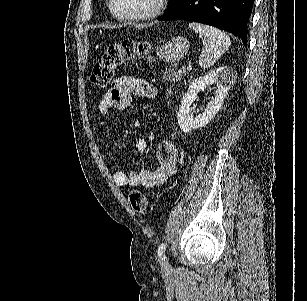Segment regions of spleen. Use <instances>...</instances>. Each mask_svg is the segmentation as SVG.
Returning a JSON list of instances; mask_svg holds the SVG:
<instances>
[{
  "instance_id": "1",
  "label": "spleen",
  "mask_w": 307,
  "mask_h": 301,
  "mask_svg": "<svg viewBox=\"0 0 307 301\" xmlns=\"http://www.w3.org/2000/svg\"><path fill=\"white\" fill-rule=\"evenodd\" d=\"M189 28L198 32L204 44V50L199 56L200 68L212 66L221 54L228 50L231 44L230 36L220 28H215V26L200 24V22H189Z\"/></svg>"
}]
</instances>
